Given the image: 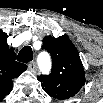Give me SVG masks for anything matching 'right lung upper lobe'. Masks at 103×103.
Returning a JSON list of instances; mask_svg holds the SVG:
<instances>
[{"label": "right lung upper lobe", "mask_w": 103, "mask_h": 103, "mask_svg": "<svg viewBox=\"0 0 103 103\" xmlns=\"http://www.w3.org/2000/svg\"><path fill=\"white\" fill-rule=\"evenodd\" d=\"M8 35L0 30V91L7 95L12 89V79L18 77L27 66L15 61L16 55L13 48L7 44Z\"/></svg>", "instance_id": "obj_1"}]
</instances>
